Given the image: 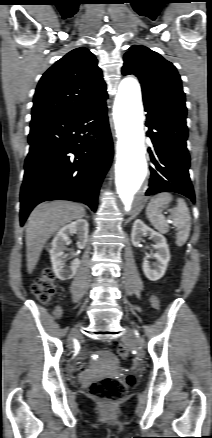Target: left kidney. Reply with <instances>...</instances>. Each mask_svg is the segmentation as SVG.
I'll return each mask as SVG.
<instances>
[{
    "mask_svg": "<svg viewBox=\"0 0 212 438\" xmlns=\"http://www.w3.org/2000/svg\"><path fill=\"white\" fill-rule=\"evenodd\" d=\"M149 235L150 238L155 242L156 253L153 257L157 260L156 263L150 265L148 259L150 256H146L143 259L142 269L145 276L151 281H157L162 278L170 260V251L166 242V238L156 232L149 226H147L142 220H135L131 232V241L134 246H140L142 236Z\"/></svg>",
    "mask_w": 212,
    "mask_h": 438,
    "instance_id": "left-kidney-1",
    "label": "left kidney"
}]
</instances>
